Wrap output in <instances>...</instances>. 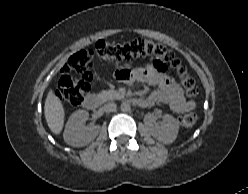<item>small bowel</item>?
Masks as SVG:
<instances>
[{
  "label": "small bowel",
  "instance_id": "1",
  "mask_svg": "<svg viewBox=\"0 0 248 194\" xmlns=\"http://www.w3.org/2000/svg\"><path fill=\"white\" fill-rule=\"evenodd\" d=\"M164 71L165 68L160 63L146 64L132 71H127L128 78L125 81L129 84L145 83L156 88L144 99L148 102V106L168 104L178 114L189 112L195 104L185 98L182 87L166 76Z\"/></svg>",
  "mask_w": 248,
  "mask_h": 194
}]
</instances>
